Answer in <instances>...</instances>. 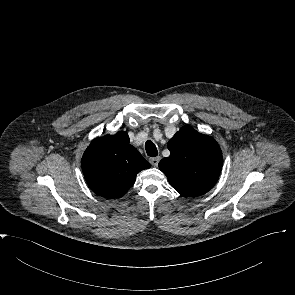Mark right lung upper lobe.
<instances>
[{
  "label": "right lung upper lobe",
  "mask_w": 295,
  "mask_h": 295,
  "mask_svg": "<svg viewBox=\"0 0 295 295\" xmlns=\"http://www.w3.org/2000/svg\"><path fill=\"white\" fill-rule=\"evenodd\" d=\"M127 132L94 139L81 160L87 184L97 195L120 198L133 186L136 175L150 164L129 144Z\"/></svg>",
  "instance_id": "obj_1"
}]
</instances>
